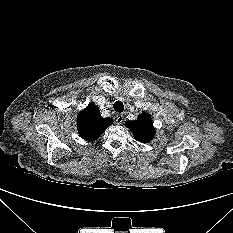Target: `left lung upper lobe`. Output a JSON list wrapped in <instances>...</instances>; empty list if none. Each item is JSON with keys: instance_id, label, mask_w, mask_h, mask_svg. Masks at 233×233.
I'll return each instance as SVG.
<instances>
[{"instance_id": "1", "label": "left lung upper lobe", "mask_w": 233, "mask_h": 233, "mask_svg": "<svg viewBox=\"0 0 233 233\" xmlns=\"http://www.w3.org/2000/svg\"><path fill=\"white\" fill-rule=\"evenodd\" d=\"M138 141L148 143L155 135V128L149 113H141L137 120L126 123Z\"/></svg>"}]
</instances>
